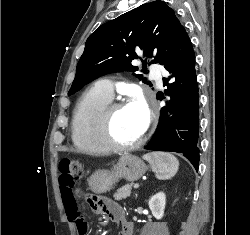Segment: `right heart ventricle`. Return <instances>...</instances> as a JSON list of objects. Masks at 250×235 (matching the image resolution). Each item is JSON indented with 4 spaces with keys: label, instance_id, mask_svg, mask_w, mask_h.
<instances>
[{
    "label": "right heart ventricle",
    "instance_id": "e07e8e85",
    "mask_svg": "<svg viewBox=\"0 0 250 235\" xmlns=\"http://www.w3.org/2000/svg\"><path fill=\"white\" fill-rule=\"evenodd\" d=\"M111 99L94 85L78 100L72 117V141L78 152L101 155L110 151L99 139L98 120Z\"/></svg>",
    "mask_w": 250,
    "mask_h": 235
}]
</instances>
